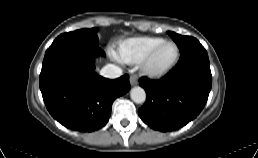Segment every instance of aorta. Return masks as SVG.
I'll list each match as a JSON object with an SVG mask.
<instances>
[{
    "instance_id": "1",
    "label": "aorta",
    "mask_w": 258,
    "mask_h": 158,
    "mask_svg": "<svg viewBox=\"0 0 258 158\" xmlns=\"http://www.w3.org/2000/svg\"><path fill=\"white\" fill-rule=\"evenodd\" d=\"M130 97L137 104L144 103L146 100L145 90L141 87H134L130 91Z\"/></svg>"
}]
</instances>
